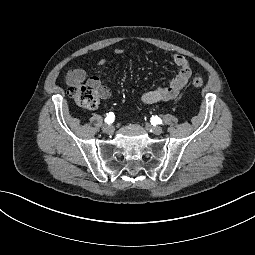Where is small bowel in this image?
<instances>
[{
  "label": "small bowel",
  "mask_w": 255,
  "mask_h": 255,
  "mask_svg": "<svg viewBox=\"0 0 255 255\" xmlns=\"http://www.w3.org/2000/svg\"><path fill=\"white\" fill-rule=\"evenodd\" d=\"M114 53L116 55H121L124 53V50L121 48H116ZM171 59L178 68L176 75L168 84L143 93L140 97L143 103L154 104L173 100L186 86L192 74L189 61L184 56L179 54H173ZM105 63L106 59L104 58L98 61L99 66H103ZM66 82L69 86H79L84 82H88L98 90L100 97L103 99L108 98L111 94L110 89L105 85L104 79L97 76L88 77L87 71L80 67L72 68L68 71Z\"/></svg>",
  "instance_id": "small-bowel-1"
}]
</instances>
